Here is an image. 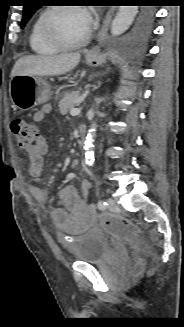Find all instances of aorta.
<instances>
[{"mask_svg": "<svg viewBox=\"0 0 184 327\" xmlns=\"http://www.w3.org/2000/svg\"><path fill=\"white\" fill-rule=\"evenodd\" d=\"M138 13L137 6H120L119 11L112 21L111 33L115 36L122 34L133 23L135 16ZM97 124L94 122L91 125L89 133L85 141V155L91 161L93 158V143L96 135Z\"/></svg>", "mask_w": 184, "mask_h": 327, "instance_id": "aorta-1", "label": "aorta"}]
</instances>
